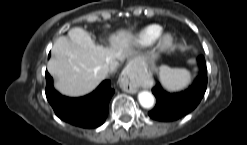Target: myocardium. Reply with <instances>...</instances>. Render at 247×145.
I'll list each match as a JSON object with an SVG mask.
<instances>
[{
  "label": "myocardium",
  "mask_w": 247,
  "mask_h": 145,
  "mask_svg": "<svg viewBox=\"0 0 247 145\" xmlns=\"http://www.w3.org/2000/svg\"><path fill=\"white\" fill-rule=\"evenodd\" d=\"M175 41V37L172 32L164 31L159 34L156 39L157 47L161 51L169 50Z\"/></svg>",
  "instance_id": "obj_1"
}]
</instances>
